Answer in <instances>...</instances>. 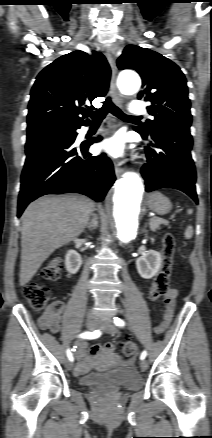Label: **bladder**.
Wrapping results in <instances>:
<instances>
[{
    "label": "bladder",
    "instance_id": "bladder-1",
    "mask_svg": "<svg viewBox=\"0 0 212 438\" xmlns=\"http://www.w3.org/2000/svg\"><path fill=\"white\" fill-rule=\"evenodd\" d=\"M83 386L111 384L124 389L134 390L141 386L140 377L131 368H119L109 372H95L80 377Z\"/></svg>",
    "mask_w": 212,
    "mask_h": 438
}]
</instances>
